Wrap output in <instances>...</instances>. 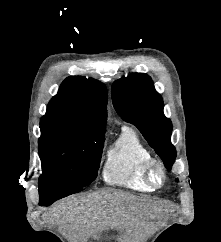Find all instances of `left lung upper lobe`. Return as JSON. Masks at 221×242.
I'll use <instances>...</instances> for the list:
<instances>
[{"label":"left lung upper lobe","instance_id":"1","mask_svg":"<svg viewBox=\"0 0 221 242\" xmlns=\"http://www.w3.org/2000/svg\"><path fill=\"white\" fill-rule=\"evenodd\" d=\"M112 102L121 118L139 129L165 167L171 169L176 158L170 141L172 123L164 116L162 97L154 89L151 78L147 74L133 73L115 81Z\"/></svg>","mask_w":221,"mask_h":242}]
</instances>
